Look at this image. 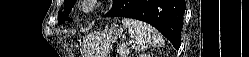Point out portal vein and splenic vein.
I'll return each instance as SVG.
<instances>
[{
    "label": "portal vein and splenic vein",
    "instance_id": "18ae733b",
    "mask_svg": "<svg viewBox=\"0 0 249 57\" xmlns=\"http://www.w3.org/2000/svg\"><path fill=\"white\" fill-rule=\"evenodd\" d=\"M132 43V41H130L129 42V44H131ZM125 46L126 45H123L122 47H121V49H120V56H125V54H126V51H125Z\"/></svg>",
    "mask_w": 249,
    "mask_h": 57
}]
</instances>
